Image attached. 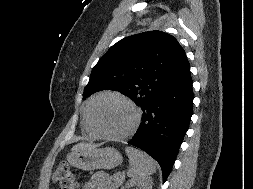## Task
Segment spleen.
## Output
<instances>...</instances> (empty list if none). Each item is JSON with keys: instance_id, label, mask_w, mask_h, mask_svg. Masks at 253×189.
Listing matches in <instances>:
<instances>
[{"instance_id": "obj_1", "label": "spleen", "mask_w": 253, "mask_h": 189, "mask_svg": "<svg viewBox=\"0 0 253 189\" xmlns=\"http://www.w3.org/2000/svg\"><path fill=\"white\" fill-rule=\"evenodd\" d=\"M125 152L129 158L130 169L127 175L134 179L147 178L156 171V162L145 152L127 146Z\"/></svg>"}]
</instances>
